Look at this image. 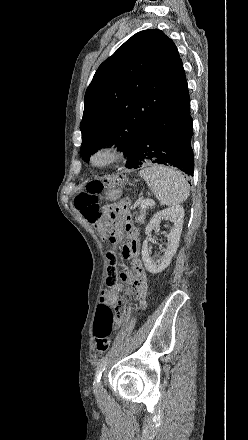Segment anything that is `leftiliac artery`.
Listing matches in <instances>:
<instances>
[{
    "label": "left iliac artery",
    "mask_w": 248,
    "mask_h": 440,
    "mask_svg": "<svg viewBox=\"0 0 248 440\" xmlns=\"http://www.w3.org/2000/svg\"><path fill=\"white\" fill-rule=\"evenodd\" d=\"M108 357H103L102 359L99 360L98 365H97V369L95 372V380H94V384H97L100 382L101 380V376L103 371L105 370L107 363H108Z\"/></svg>",
    "instance_id": "obj_1"
}]
</instances>
